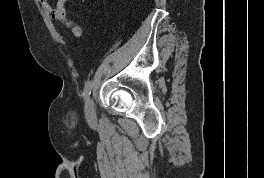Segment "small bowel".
Segmentation results:
<instances>
[{
	"label": "small bowel",
	"instance_id": "small-bowel-1",
	"mask_svg": "<svg viewBox=\"0 0 264 178\" xmlns=\"http://www.w3.org/2000/svg\"><path fill=\"white\" fill-rule=\"evenodd\" d=\"M67 0H57L55 6H51L48 0H39L40 4L44 8L46 14L53 20L59 21L71 30V33L75 37H79L83 33V29L80 25L71 21L65 11V3Z\"/></svg>",
	"mask_w": 264,
	"mask_h": 178
}]
</instances>
